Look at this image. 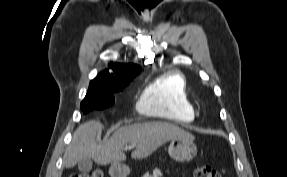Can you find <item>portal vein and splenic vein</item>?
Returning <instances> with one entry per match:
<instances>
[{"label":"portal vein and splenic vein","mask_w":287,"mask_h":177,"mask_svg":"<svg viewBox=\"0 0 287 177\" xmlns=\"http://www.w3.org/2000/svg\"><path fill=\"white\" fill-rule=\"evenodd\" d=\"M131 147H134L133 145L132 146H126L125 149H130Z\"/></svg>","instance_id":"portal-vein-and-splenic-vein-1"}]
</instances>
